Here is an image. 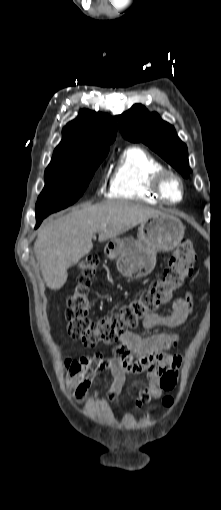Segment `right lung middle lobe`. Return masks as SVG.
I'll list each match as a JSON object with an SVG mask.
<instances>
[{
  "mask_svg": "<svg viewBox=\"0 0 221 510\" xmlns=\"http://www.w3.org/2000/svg\"><path fill=\"white\" fill-rule=\"evenodd\" d=\"M108 151L51 161L45 170V187L36 203V217L48 216L75 203Z\"/></svg>",
  "mask_w": 221,
  "mask_h": 510,
  "instance_id": "dd1d6c3e",
  "label": "right lung middle lobe"
}]
</instances>
